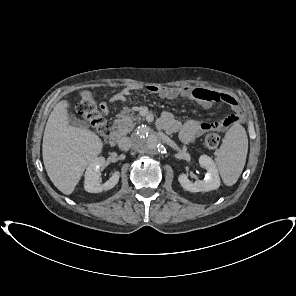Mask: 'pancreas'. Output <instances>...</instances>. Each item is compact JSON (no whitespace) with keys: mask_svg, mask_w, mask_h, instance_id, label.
Segmentation results:
<instances>
[{"mask_svg":"<svg viewBox=\"0 0 296 296\" xmlns=\"http://www.w3.org/2000/svg\"><path fill=\"white\" fill-rule=\"evenodd\" d=\"M138 120H140V117L133 116L127 111H122L117 115V119L114 120V128H116L121 135H126L132 131Z\"/></svg>","mask_w":296,"mask_h":296,"instance_id":"obj_1","label":"pancreas"}]
</instances>
